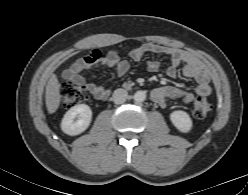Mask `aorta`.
I'll return each mask as SVG.
<instances>
[{
  "instance_id": "762f6f07",
  "label": "aorta",
  "mask_w": 248,
  "mask_h": 195,
  "mask_svg": "<svg viewBox=\"0 0 248 195\" xmlns=\"http://www.w3.org/2000/svg\"><path fill=\"white\" fill-rule=\"evenodd\" d=\"M146 99V92L145 91H137L134 94V100L136 102H143Z\"/></svg>"
}]
</instances>
